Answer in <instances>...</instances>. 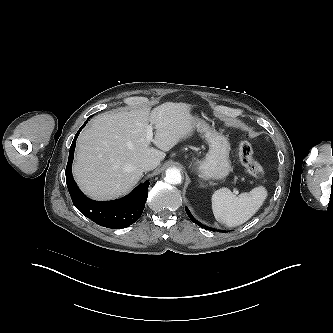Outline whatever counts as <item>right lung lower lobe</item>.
Wrapping results in <instances>:
<instances>
[{
    "label": "right lung lower lobe",
    "mask_w": 333,
    "mask_h": 333,
    "mask_svg": "<svg viewBox=\"0 0 333 333\" xmlns=\"http://www.w3.org/2000/svg\"><path fill=\"white\" fill-rule=\"evenodd\" d=\"M86 123L87 121L74 137L65 171L66 183L73 204L82 214L103 227L115 229L127 227L136 222L141 216L147 200L150 182L145 181L136 187L129 195L118 200L100 202L87 198L77 187L71 171L76 145L75 142Z\"/></svg>",
    "instance_id": "right-lung-lower-lobe-1"
}]
</instances>
